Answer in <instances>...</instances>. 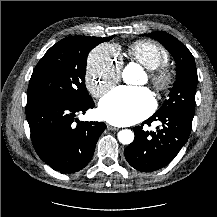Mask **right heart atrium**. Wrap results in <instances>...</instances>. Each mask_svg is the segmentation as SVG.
Listing matches in <instances>:
<instances>
[{
  "mask_svg": "<svg viewBox=\"0 0 217 217\" xmlns=\"http://www.w3.org/2000/svg\"><path fill=\"white\" fill-rule=\"evenodd\" d=\"M122 63L115 46L102 44L93 49L87 60L85 83L96 98L102 97L119 78Z\"/></svg>",
  "mask_w": 217,
  "mask_h": 217,
  "instance_id": "1",
  "label": "right heart atrium"
}]
</instances>
